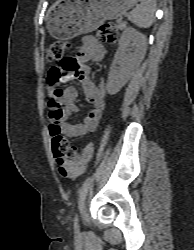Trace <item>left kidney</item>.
<instances>
[{
    "label": "left kidney",
    "mask_w": 194,
    "mask_h": 250,
    "mask_svg": "<svg viewBox=\"0 0 194 250\" xmlns=\"http://www.w3.org/2000/svg\"><path fill=\"white\" fill-rule=\"evenodd\" d=\"M146 49L147 39L144 34L131 27L123 31L114 59V64L119 67H115L109 76V91L119 90L128 82L143 61Z\"/></svg>",
    "instance_id": "left-kidney-1"
}]
</instances>
